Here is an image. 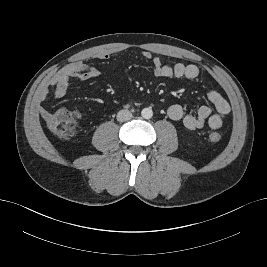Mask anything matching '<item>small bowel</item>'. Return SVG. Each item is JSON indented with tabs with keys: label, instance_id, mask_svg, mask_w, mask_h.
I'll return each instance as SVG.
<instances>
[{
	"label": "small bowel",
	"instance_id": "small-bowel-1",
	"mask_svg": "<svg viewBox=\"0 0 267 267\" xmlns=\"http://www.w3.org/2000/svg\"><path fill=\"white\" fill-rule=\"evenodd\" d=\"M142 57L152 62L154 74L160 78H186L196 80L200 75V70L193 64L177 63L173 66L164 64L159 57L153 56L150 52L144 51ZM98 58L108 59V54H99ZM100 75V71L95 68L77 61L68 64L61 69L50 81L49 85L41 92V99H45L50 89L56 97L66 94L72 79L89 80ZM208 100L214 106L215 111L208 105H202L197 114H185L182 106L174 104L168 109V116L175 121L182 120L183 125L189 130H196L208 125L211 129L221 128L224 119L230 113V105L226 99L216 89H210L207 93ZM40 116L47 120L51 112L47 109H39Z\"/></svg>",
	"mask_w": 267,
	"mask_h": 267
}]
</instances>
